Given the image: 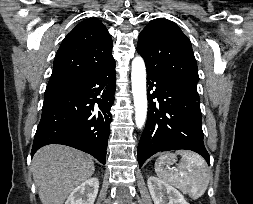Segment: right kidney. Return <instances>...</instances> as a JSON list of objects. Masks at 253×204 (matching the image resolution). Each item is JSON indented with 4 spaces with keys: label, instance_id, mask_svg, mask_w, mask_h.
Returning <instances> with one entry per match:
<instances>
[{
    "label": "right kidney",
    "instance_id": "obj_1",
    "mask_svg": "<svg viewBox=\"0 0 253 204\" xmlns=\"http://www.w3.org/2000/svg\"><path fill=\"white\" fill-rule=\"evenodd\" d=\"M98 189V178L87 179L72 191L65 204H94Z\"/></svg>",
    "mask_w": 253,
    "mask_h": 204
}]
</instances>
